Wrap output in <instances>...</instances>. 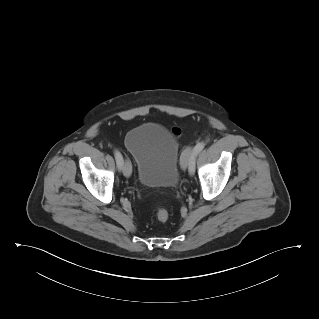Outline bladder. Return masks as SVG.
<instances>
[{
    "mask_svg": "<svg viewBox=\"0 0 319 319\" xmlns=\"http://www.w3.org/2000/svg\"><path fill=\"white\" fill-rule=\"evenodd\" d=\"M125 146L137 166V180L146 187L169 188L179 178L180 145L163 125L144 123L125 135Z\"/></svg>",
    "mask_w": 319,
    "mask_h": 319,
    "instance_id": "bladder-1",
    "label": "bladder"
}]
</instances>
